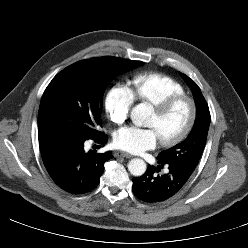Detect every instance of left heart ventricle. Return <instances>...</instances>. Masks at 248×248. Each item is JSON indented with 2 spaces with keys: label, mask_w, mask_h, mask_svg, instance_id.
Masks as SVG:
<instances>
[{
  "label": "left heart ventricle",
  "mask_w": 248,
  "mask_h": 248,
  "mask_svg": "<svg viewBox=\"0 0 248 248\" xmlns=\"http://www.w3.org/2000/svg\"><path fill=\"white\" fill-rule=\"evenodd\" d=\"M190 114L189 104L185 101L177 103L167 114L158 117L151 113L148 127L153 128L160 140H166L178 135L186 126Z\"/></svg>",
  "instance_id": "obj_1"
}]
</instances>
